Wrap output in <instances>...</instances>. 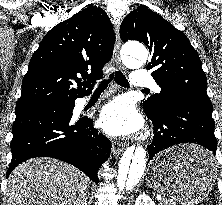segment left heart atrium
I'll use <instances>...</instances> for the list:
<instances>
[{"label": "left heart atrium", "mask_w": 222, "mask_h": 205, "mask_svg": "<svg viewBox=\"0 0 222 205\" xmlns=\"http://www.w3.org/2000/svg\"><path fill=\"white\" fill-rule=\"evenodd\" d=\"M99 122L105 132L116 136L135 133L142 126L133 104L123 98L107 104L101 111Z\"/></svg>", "instance_id": "39dd6f15"}]
</instances>
